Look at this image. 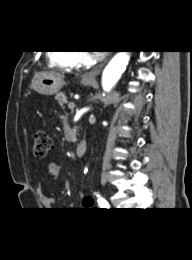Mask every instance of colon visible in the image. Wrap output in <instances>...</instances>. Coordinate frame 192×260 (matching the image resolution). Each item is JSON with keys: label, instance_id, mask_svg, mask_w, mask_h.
Instances as JSON below:
<instances>
[{"label": "colon", "instance_id": "obj_1", "mask_svg": "<svg viewBox=\"0 0 192 260\" xmlns=\"http://www.w3.org/2000/svg\"><path fill=\"white\" fill-rule=\"evenodd\" d=\"M34 155L37 158L44 157L51 148V140L48 135L42 130H36L34 132Z\"/></svg>", "mask_w": 192, "mask_h": 260}]
</instances>
